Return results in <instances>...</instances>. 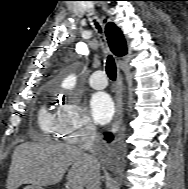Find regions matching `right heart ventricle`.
<instances>
[{"label": "right heart ventricle", "mask_w": 188, "mask_h": 189, "mask_svg": "<svg viewBox=\"0 0 188 189\" xmlns=\"http://www.w3.org/2000/svg\"><path fill=\"white\" fill-rule=\"evenodd\" d=\"M39 127L47 139L61 136L57 128L56 116L46 106L40 109Z\"/></svg>", "instance_id": "right-heart-ventricle-1"}]
</instances>
